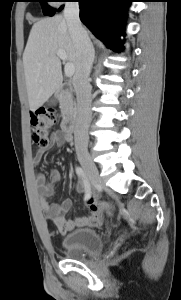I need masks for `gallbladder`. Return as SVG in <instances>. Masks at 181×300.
<instances>
[{
  "label": "gallbladder",
  "mask_w": 181,
  "mask_h": 300,
  "mask_svg": "<svg viewBox=\"0 0 181 300\" xmlns=\"http://www.w3.org/2000/svg\"><path fill=\"white\" fill-rule=\"evenodd\" d=\"M56 103V98H52L50 101H49V104L50 105H55Z\"/></svg>",
  "instance_id": "1"
}]
</instances>
